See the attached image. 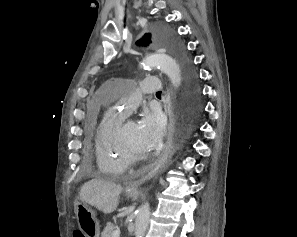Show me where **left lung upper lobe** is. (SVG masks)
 <instances>
[{"label":"left lung upper lobe","instance_id":"5c2ea615","mask_svg":"<svg viewBox=\"0 0 297 237\" xmlns=\"http://www.w3.org/2000/svg\"><path fill=\"white\" fill-rule=\"evenodd\" d=\"M155 38L157 41H161L168 44L174 52H176L183 59L185 84H186V96L192 98L193 101L198 104L199 99V86L197 82V76L191 66V63L185 58L184 49L182 45L177 41L175 35L170 30L157 27ZM151 43V34L146 33L141 40L137 42V45L147 46Z\"/></svg>","mask_w":297,"mask_h":237}]
</instances>
